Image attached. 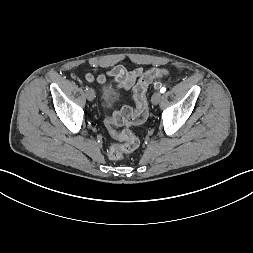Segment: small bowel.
<instances>
[{
    "label": "small bowel",
    "instance_id": "small-bowel-1",
    "mask_svg": "<svg viewBox=\"0 0 253 253\" xmlns=\"http://www.w3.org/2000/svg\"><path fill=\"white\" fill-rule=\"evenodd\" d=\"M143 69L141 67L128 70L121 65L113 67L107 75L89 73L86 76L88 81L97 80L99 83H106L110 78L120 88L129 90L136 80L142 75Z\"/></svg>",
    "mask_w": 253,
    "mask_h": 253
}]
</instances>
